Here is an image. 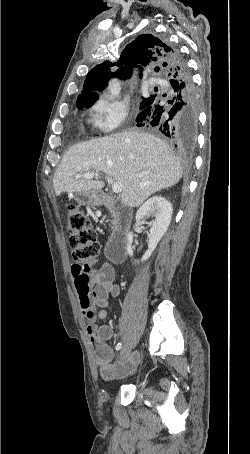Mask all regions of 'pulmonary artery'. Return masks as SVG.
Segmentation results:
<instances>
[{
    "label": "pulmonary artery",
    "mask_w": 250,
    "mask_h": 454,
    "mask_svg": "<svg viewBox=\"0 0 250 454\" xmlns=\"http://www.w3.org/2000/svg\"><path fill=\"white\" fill-rule=\"evenodd\" d=\"M149 82H150L151 84H153V85L160 83V81H159L158 79H156V78H151V79L149 80Z\"/></svg>",
    "instance_id": "1"
}]
</instances>
